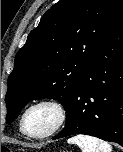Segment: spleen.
Segmentation results:
<instances>
[{"label":"spleen","instance_id":"spleen-1","mask_svg":"<svg viewBox=\"0 0 123 152\" xmlns=\"http://www.w3.org/2000/svg\"><path fill=\"white\" fill-rule=\"evenodd\" d=\"M68 143L76 144L82 152H112V147L107 142L89 135H76Z\"/></svg>","mask_w":123,"mask_h":152}]
</instances>
